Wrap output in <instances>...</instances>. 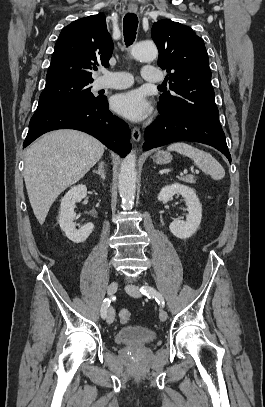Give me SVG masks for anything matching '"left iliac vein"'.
<instances>
[{
  "instance_id": "4c4485c4",
  "label": "left iliac vein",
  "mask_w": 265,
  "mask_h": 407,
  "mask_svg": "<svg viewBox=\"0 0 265 407\" xmlns=\"http://www.w3.org/2000/svg\"><path fill=\"white\" fill-rule=\"evenodd\" d=\"M126 291L129 295H131L132 297H140L141 293L139 292V288L136 285H128L126 286ZM159 318L161 321H166L168 318V314L164 309H161L159 312Z\"/></svg>"
}]
</instances>
